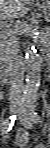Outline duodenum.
I'll return each instance as SVG.
<instances>
[{"label": "duodenum", "instance_id": "1", "mask_svg": "<svg viewBox=\"0 0 50 148\" xmlns=\"http://www.w3.org/2000/svg\"><path fill=\"white\" fill-rule=\"evenodd\" d=\"M47 59V58H45ZM14 82V77L10 75L6 70L2 73V84L9 85Z\"/></svg>", "mask_w": 50, "mask_h": 148}]
</instances>
